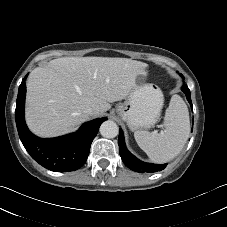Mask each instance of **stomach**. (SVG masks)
Listing matches in <instances>:
<instances>
[{
    "label": "stomach",
    "mask_w": 227,
    "mask_h": 227,
    "mask_svg": "<svg viewBox=\"0 0 227 227\" xmlns=\"http://www.w3.org/2000/svg\"><path fill=\"white\" fill-rule=\"evenodd\" d=\"M144 78L145 72L140 73L125 101L116 106L117 115L132 131L153 126L160 117L164 102L160 88L145 83Z\"/></svg>",
    "instance_id": "0dacf381"
}]
</instances>
